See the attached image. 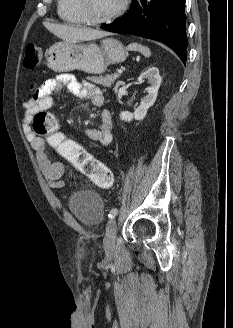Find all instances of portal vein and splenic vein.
I'll return each instance as SVG.
<instances>
[{"label":"portal vein and splenic vein","mask_w":233,"mask_h":328,"mask_svg":"<svg viewBox=\"0 0 233 328\" xmlns=\"http://www.w3.org/2000/svg\"><path fill=\"white\" fill-rule=\"evenodd\" d=\"M117 73H118V74H121V73H123V70H122V69H119V70L117 71Z\"/></svg>","instance_id":"1"}]
</instances>
